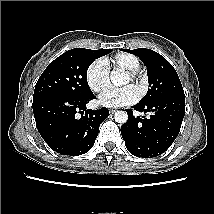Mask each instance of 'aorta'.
Here are the masks:
<instances>
[{"instance_id":"aorta-1","label":"aorta","mask_w":214,"mask_h":214,"mask_svg":"<svg viewBox=\"0 0 214 214\" xmlns=\"http://www.w3.org/2000/svg\"><path fill=\"white\" fill-rule=\"evenodd\" d=\"M110 79H111V82L116 86L122 85L124 83L123 74L115 70L111 72ZM114 119L117 123L124 124L128 119V115L124 111H116L114 115Z\"/></svg>"}]
</instances>
